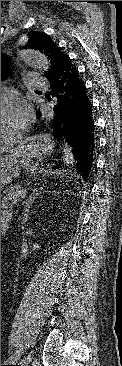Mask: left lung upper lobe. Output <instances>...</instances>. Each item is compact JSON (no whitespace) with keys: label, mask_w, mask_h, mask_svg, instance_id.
Masks as SVG:
<instances>
[{"label":"left lung upper lobe","mask_w":122,"mask_h":366,"mask_svg":"<svg viewBox=\"0 0 122 366\" xmlns=\"http://www.w3.org/2000/svg\"><path fill=\"white\" fill-rule=\"evenodd\" d=\"M29 42L27 47L40 50L51 61V70L47 72V75L54 70L63 57L67 56L61 52L52 39L44 32L31 31L29 34ZM9 60L7 57L1 56V79L7 76Z\"/></svg>","instance_id":"5c2ea615"}]
</instances>
